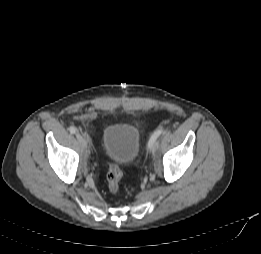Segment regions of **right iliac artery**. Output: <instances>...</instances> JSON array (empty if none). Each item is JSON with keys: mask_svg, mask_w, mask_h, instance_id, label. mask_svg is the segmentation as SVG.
Listing matches in <instances>:
<instances>
[{"mask_svg": "<svg viewBox=\"0 0 261 254\" xmlns=\"http://www.w3.org/2000/svg\"><path fill=\"white\" fill-rule=\"evenodd\" d=\"M69 131H70V133L75 134L76 131H77V129H76L74 126H71V127L69 128Z\"/></svg>", "mask_w": 261, "mask_h": 254, "instance_id": "82829eb1", "label": "right iliac artery"}]
</instances>
